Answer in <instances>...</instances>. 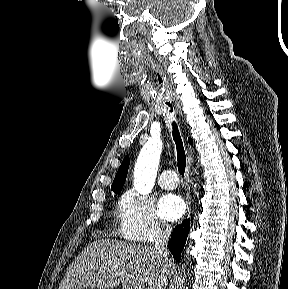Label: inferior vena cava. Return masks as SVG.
<instances>
[{
	"mask_svg": "<svg viewBox=\"0 0 288 289\" xmlns=\"http://www.w3.org/2000/svg\"><path fill=\"white\" fill-rule=\"evenodd\" d=\"M171 232L172 228L168 224H162L153 247V250L164 260V262H169L168 240Z\"/></svg>",
	"mask_w": 288,
	"mask_h": 289,
	"instance_id": "1",
	"label": "inferior vena cava"
}]
</instances>
